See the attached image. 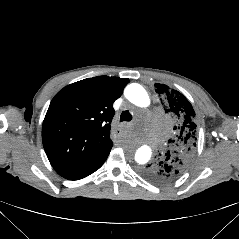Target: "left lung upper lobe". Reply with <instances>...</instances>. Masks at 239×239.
Returning <instances> with one entry per match:
<instances>
[{
    "instance_id": "obj_1",
    "label": "left lung upper lobe",
    "mask_w": 239,
    "mask_h": 239,
    "mask_svg": "<svg viewBox=\"0 0 239 239\" xmlns=\"http://www.w3.org/2000/svg\"><path fill=\"white\" fill-rule=\"evenodd\" d=\"M166 115L174 122L175 137L157 162L146 166L142 175L148 180L166 184L180 178L192 162L197 143L196 116L188 99L165 84L155 83Z\"/></svg>"
}]
</instances>
